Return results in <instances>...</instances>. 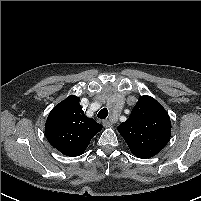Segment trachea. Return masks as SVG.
<instances>
[{"mask_svg":"<svg viewBox=\"0 0 201 201\" xmlns=\"http://www.w3.org/2000/svg\"><path fill=\"white\" fill-rule=\"evenodd\" d=\"M108 116V110L107 108H103L99 111L97 117L100 119H105Z\"/></svg>","mask_w":201,"mask_h":201,"instance_id":"trachea-1","label":"trachea"}]
</instances>
